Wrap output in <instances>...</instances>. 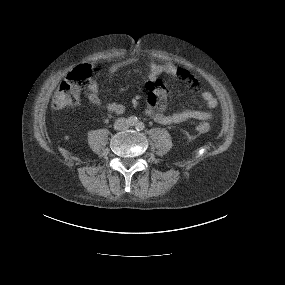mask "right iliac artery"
<instances>
[{"instance_id":"82829eb1","label":"right iliac artery","mask_w":285,"mask_h":285,"mask_svg":"<svg viewBox=\"0 0 285 285\" xmlns=\"http://www.w3.org/2000/svg\"><path fill=\"white\" fill-rule=\"evenodd\" d=\"M136 121H137V118H136V117H130V118H129V123H130L131 125H135V124H136Z\"/></svg>"}]
</instances>
